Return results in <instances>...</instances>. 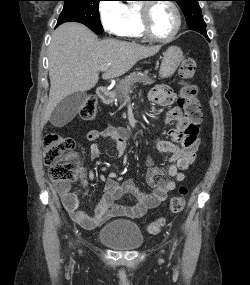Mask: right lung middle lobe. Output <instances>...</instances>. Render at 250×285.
Returning a JSON list of instances; mask_svg holds the SVG:
<instances>
[{"label": "right lung middle lobe", "mask_w": 250, "mask_h": 285, "mask_svg": "<svg viewBox=\"0 0 250 285\" xmlns=\"http://www.w3.org/2000/svg\"><path fill=\"white\" fill-rule=\"evenodd\" d=\"M64 8L60 14L57 25L73 21L80 22L89 27L96 34L103 31L99 18L98 6L101 0H63Z\"/></svg>", "instance_id": "1"}]
</instances>
